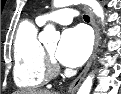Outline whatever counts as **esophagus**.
<instances>
[{"label":"esophagus","instance_id":"34e87169","mask_svg":"<svg viewBox=\"0 0 121 94\" xmlns=\"http://www.w3.org/2000/svg\"><path fill=\"white\" fill-rule=\"evenodd\" d=\"M86 11L88 12L89 16H90V21H91V25L94 29V33H95V43H94V49H93V53L91 55V57L89 58L85 68L83 69V71L80 73V75L70 84L69 88H68V93L73 94L77 91L78 87L80 86L82 80L84 79V77L86 76L92 61L96 55L97 52V48L99 45V40H100V35H99V29L96 25L95 22V18L94 15L92 13V11L89 8H85Z\"/></svg>","mask_w":121,"mask_h":94}]
</instances>
